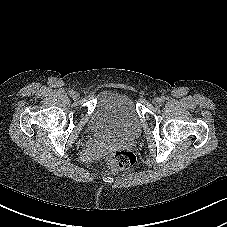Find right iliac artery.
I'll return each mask as SVG.
<instances>
[{
    "label": "right iliac artery",
    "instance_id": "82829eb1",
    "mask_svg": "<svg viewBox=\"0 0 227 227\" xmlns=\"http://www.w3.org/2000/svg\"><path fill=\"white\" fill-rule=\"evenodd\" d=\"M74 93H75V92H74L73 90L68 91V94H69L70 96H73Z\"/></svg>",
    "mask_w": 227,
    "mask_h": 227
}]
</instances>
